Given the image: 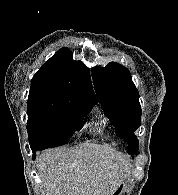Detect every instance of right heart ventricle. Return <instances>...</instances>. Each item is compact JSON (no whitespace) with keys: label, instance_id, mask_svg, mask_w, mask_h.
I'll list each match as a JSON object with an SVG mask.
<instances>
[{"label":"right heart ventricle","instance_id":"1","mask_svg":"<svg viewBox=\"0 0 178 195\" xmlns=\"http://www.w3.org/2000/svg\"><path fill=\"white\" fill-rule=\"evenodd\" d=\"M104 123H105V121H104L103 118H99V119L95 122V124L98 125V126H100V127H102V126L104 125Z\"/></svg>","mask_w":178,"mask_h":195}]
</instances>
